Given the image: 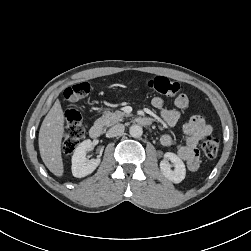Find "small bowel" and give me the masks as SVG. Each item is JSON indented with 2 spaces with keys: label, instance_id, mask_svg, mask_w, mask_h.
I'll use <instances>...</instances> for the list:
<instances>
[{
  "label": "small bowel",
  "instance_id": "c3829d8e",
  "mask_svg": "<svg viewBox=\"0 0 251 251\" xmlns=\"http://www.w3.org/2000/svg\"><path fill=\"white\" fill-rule=\"evenodd\" d=\"M189 104L186 94H180L174 100L175 109H166L162 97L156 96L152 99V106L159 110L161 119L169 126H175L180 118V110L185 109ZM213 128L201 116H192L183 126V133L186 140L177 148L178 156L186 163L187 168L194 172L199 167V154L197 145L204 137L210 135ZM160 142L164 147H170L173 144V138L168 135H162Z\"/></svg>",
  "mask_w": 251,
  "mask_h": 251
}]
</instances>
